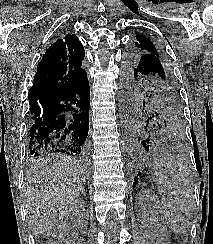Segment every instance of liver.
<instances>
[{
	"label": "liver",
	"instance_id": "obj_1",
	"mask_svg": "<svg viewBox=\"0 0 213 244\" xmlns=\"http://www.w3.org/2000/svg\"><path fill=\"white\" fill-rule=\"evenodd\" d=\"M83 167L74 158L51 155L40 159L26 172L25 208L35 237L43 234L54 216L83 191Z\"/></svg>",
	"mask_w": 213,
	"mask_h": 244
}]
</instances>
